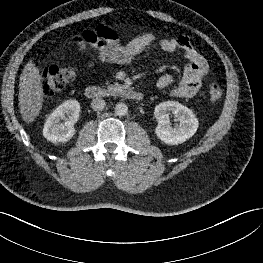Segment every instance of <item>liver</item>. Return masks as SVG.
<instances>
[{"label": "liver", "mask_w": 263, "mask_h": 263, "mask_svg": "<svg viewBox=\"0 0 263 263\" xmlns=\"http://www.w3.org/2000/svg\"><path fill=\"white\" fill-rule=\"evenodd\" d=\"M42 77L35 63L30 60L24 67L19 83V107L26 123L34 121L43 105Z\"/></svg>", "instance_id": "obj_1"}]
</instances>
